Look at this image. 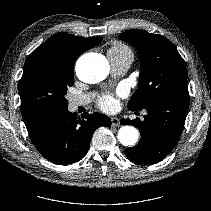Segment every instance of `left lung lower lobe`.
<instances>
[{
	"mask_svg": "<svg viewBox=\"0 0 211 211\" xmlns=\"http://www.w3.org/2000/svg\"><path fill=\"white\" fill-rule=\"evenodd\" d=\"M188 95L159 98L145 109L144 121L121 119L122 125L137 126L141 133L138 145L125 149L132 162L151 165L165 158L176 146L185 124L189 107Z\"/></svg>",
	"mask_w": 211,
	"mask_h": 211,
	"instance_id": "left-lung-lower-lobe-1",
	"label": "left lung lower lobe"
}]
</instances>
